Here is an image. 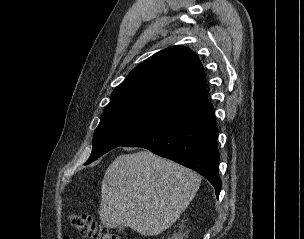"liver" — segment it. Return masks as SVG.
I'll return each instance as SVG.
<instances>
[{
	"label": "liver",
	"instance_id": "1",
	"mask_svg": "<svg viewBox=\"0 0 304 239\" xmlns=\"http://www.w3.org/2000/svg\"><path fill=\"white\" fill-rule=\"evenodd\" d=\"M200 183L196 172L148 150L120 155L102 180L101 222L157 236L180 217Z\"/></svg>",
	"mask_w": 304,
	"mask_h": 239
}]
</instances>
